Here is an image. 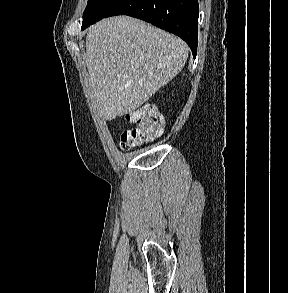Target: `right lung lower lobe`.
I'll list each match as a JSON object with an SVG mask.
<instances>
[{"label": "right lung lower lobe", "mask_w": 288, "mask_h": 293, "mask_svg": "<svg viewBox=\"0 0 288 293\" xmlns=\"http://www.w3.org/2000/svg\"><path fill=\"white\" fill-rule=\"evenodd\" d=\"M128 15L182 38L194 58L198 39V0H123L106 17Z\"/></svg>", "instance_id": "1"}]
</instances>
